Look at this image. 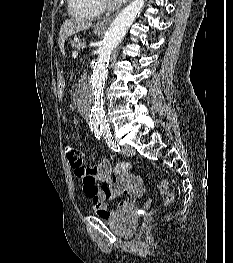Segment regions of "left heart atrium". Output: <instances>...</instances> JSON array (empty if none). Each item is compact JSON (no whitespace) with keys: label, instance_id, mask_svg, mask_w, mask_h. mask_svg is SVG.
Instances as JSON below:
<instances>
[{"label":"left heart atrium","instance_id":"obj_1","mask_svg":"<svg viewBox=\"0 0 233 263\" xmlns=\"http://www.w3.org/2000/svg\"><path fill=\"white\" fill-rule=\"evenodd\" d=\"M114 2H116V3H121V2H123L124 0H113Z\"/></svg>","mask_w":233,"mask_h":263}]
</instances>
